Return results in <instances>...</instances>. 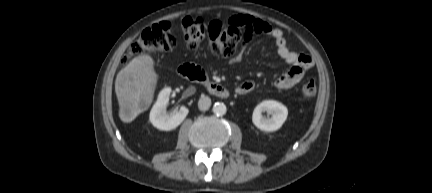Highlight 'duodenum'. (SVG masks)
I'll list each match as a JSON object with an SVG mask.
<instances>
[{
  "label": "duodenum",
  "mask_w": 432,
  "mask_h": 193,
  "mask_svg": "<svg viewBox=\"0 0 432 193\" xmlns=\"http://www.w3.org/2000/svg\"><path fill=\"white\" fill-rule=\"evenodd\" d=\"M180 76L187 80L196 81L206 85L209 92L218 98H227L229 90L220 84L209 82L205 72L198 66L193 64H183L178 68Z\"/></svg>",
  "instance_id": "410a0bca"
}]
</instances>
